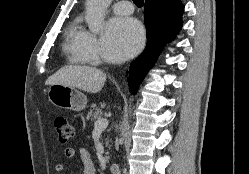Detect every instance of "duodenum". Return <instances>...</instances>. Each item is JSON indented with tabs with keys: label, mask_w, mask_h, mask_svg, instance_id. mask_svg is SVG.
<instances>
[{
	"label": "duodenum",
	"mask_w": 249,
	"mask_h": 174,
	"mask_svg": "<svg viewBox=\"0 0 249 174\" xmlns=\"http://www.w3.org/2000/svg\"><path fill=\"white\" fill-rule=\"evenodd\" d=\"M109 171L111 174H120V167L118 164L113 163L109 166Z\"/></svg>",
	"instance_id": "duodenum-1"
}]
</instances>
